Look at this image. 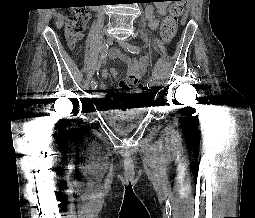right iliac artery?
Instances as JSON below:
<instances>
[{"instance_id": "obj_1", "label": "right iliac artery", "mask_w": 255, "mask_h": 218, "mask_svg": "<svg viewBox=\"0 0 255 218\" xmlns=\"http://www.w3.org/2000/svg\"><path fill=\"white\" fill-rule=\"evenodd\" d=\"M107 55H108V45L106 44L102 47V50H101V59L99 61V67L101 64H103L105 62ZM91 84L96 85V82L94 80H92Z\"/></svg>"}]
</instances>
